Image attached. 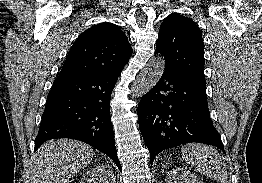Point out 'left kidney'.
Segmentation results:
<instances>
[{
	"instance_id": "1",
	"label": "left kidney",
	"mask_w": 262,
	"mask_h": 183,
	"mask_svg": "<svg viewBox=\"0 0 262 183\" xmlns=\"http://www.w3.org/2000/svg\"><path fill=\"white\" fill-rule=\"evenodd\" d=\"M167 183H204L184 168H173L167 173Z\"/></svg>"
}]
</instances>
